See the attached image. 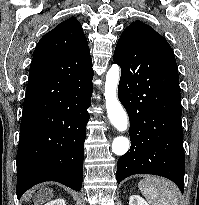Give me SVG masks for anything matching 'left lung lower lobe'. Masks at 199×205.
<instances>
[{
    "label": "left lung lower lobe",
    "instance_id": "left-lung-lower-lobe-1",
    "mask_svg": "<svg viewBox=\"0 0 199 205\" xmlns=\"http://www.w3.org/2000/svg\"><path fill=\"white\" fill-rule=\"evenodd\" d=\"M114 62L122 68L118 98L130 120L131 147L117 164V182L134 174L172 180L183 193L185 156L179 76L153 48L122 34Z\"/></svg>",
    "mask_w": 199,
    "mask_h": 205
}]
</instances>
